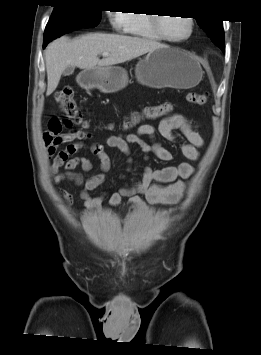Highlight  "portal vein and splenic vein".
<instances>
[{
    "instance_id": "18ae733b",
    "label": "portal vein and splenic vein",
    "mask_w": 261,
    "mask_h": 355,
    "mask_svg": "<svg viewBox=\"0 0 261 355\" xmlns=\"http://www.w3.org/2000/svg\"><path fill=\"white\" fill-rule=\"evenodd\" d=\"M102 55H103L104 57H106V56L109 55V53H108V52H104V53H102Z\"/></svg>"
}]
</instances>
